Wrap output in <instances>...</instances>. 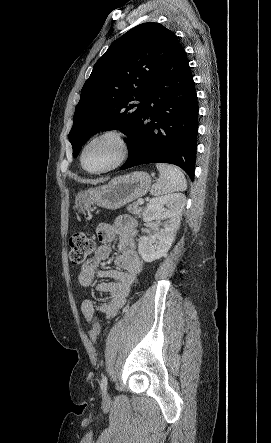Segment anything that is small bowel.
<instances>
[{"instance_id": "1", "label": "small bowel", "mask_w": 271, "mask_h": 443, "mask_svg": "<svg viewBox=\"0 0 271 443\" xmlns=\"http://www.w3.org/2000/svg\"><path fill=\"white\" fill-rule=\"evenodd\" d=\"M136 233L137 222L127 215L120 216L113 224L102 223L98 226L97 235L101 245L93 257L82 266L78 281L82 286L88 287L97 278L110 279L96 286L98 292L109 295L110 299L104 303H98L93 299L83 301L81 311L88 323L92 322L96 312H100L106 320H110L124 306L136 276L143 269V261L135 247ZM114 240H117L119 251L115 260L118 268H101V263L111 255V243Z\"/></svg>"}]
</instances>
